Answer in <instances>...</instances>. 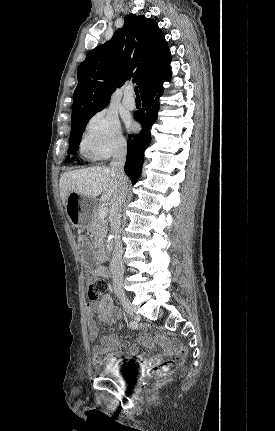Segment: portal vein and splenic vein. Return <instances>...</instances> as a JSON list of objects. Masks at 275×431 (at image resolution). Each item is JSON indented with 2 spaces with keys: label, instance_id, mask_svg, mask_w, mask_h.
Segmentation results:
<instances>
[{
  "label": "portal vein and splenic vein",
  "instance_id": "obj_1",
  "mask_svg": "<svg viewBox=\"0 0 275 431\" xmlns=\"http://www.w3.org/2000/svg\"><path fill=\"white\" fill-rule=\"evenodd\" d=\"M107 213H108V208H106V207H101V208L99 209V216H100L101 218H105V217L107 216Z\"/></svg>",
  "mask_w": 275,
  "mask_h": 431
}]
</instances>
